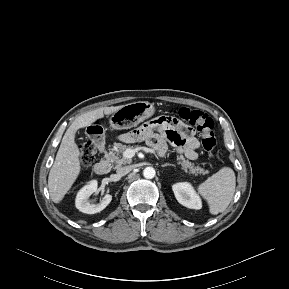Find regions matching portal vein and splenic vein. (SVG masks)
<instances>
[{
  "label": "portal vein and splenic vein",
  "mask_w": 289,
  "mask_h": 289,
  "mask_svg": "<svg viewBox=\"0 0 289 289\" xmlns=\"http://www.w3.org/2000/svg\"><path fill=\"white\" fill-rule=\"evenodd\" d=\"M139 150H143L145 152H150V153H154V150L153 149H150L148 147H137L135 149H127L124 153H123V156L126 158V159H131L134 157L135 153L138 152Z\"/></svg>",
  "instance_id": "1"
}]
</instances>
